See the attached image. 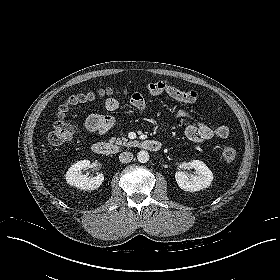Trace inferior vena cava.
<instances>
[{
    "label": "inferior vena cava",
    "mask_w": 280,
    "mask_h": 280,
    "mask_svg": "<svg viewBox=\"0 0 280 280\" xmlns=\"http://www.w3.org/2000/svg\"><path fill=\"white\" fill-rule=\"evenodd\" d=\"M133 159V154L131 152H122L119 155V160L121 163H129Z\"/></svg>",
    "instance_id": "1"
}]
</instances>
